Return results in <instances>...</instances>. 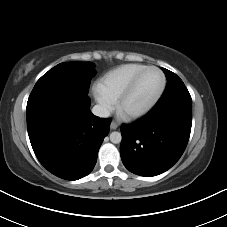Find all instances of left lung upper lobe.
<instances>
[{"mask_svg": "<svg viewBox=\"0 0 227 227\" xmlns=\"http://www.w3.org/2000/svg\"><path fill=\"white\" fill-rule=\"evenodd\" d=\"M162 70L167 77V85L157 104L167 102L192 103L191 96L182 80L175 73L165 68H162Z\"/></svg>", "mask_w": 227, "mask_h": 227, "instance_id": "5c2ea615", "label": "left lung upper lobe"}]
</instances>
